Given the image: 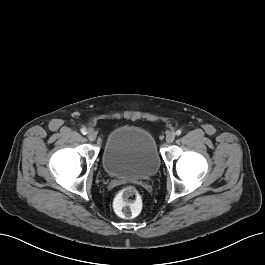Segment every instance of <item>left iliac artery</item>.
<instances>
[{"instance_id":"1","label":"left iliac artery","mask_w":265,"mask_h":265,"mask_svg":"<svg viewBox=\"0 0 265 265\" xmlns=\"http://www.w3.org/2000/svg\"><path fill=\"white\" fill-rule=\"evenodd\" d=\"M181 133H182L181 130H177V131H176V135H177V136L181 135Z\"/></svg>"}]
</instances>
